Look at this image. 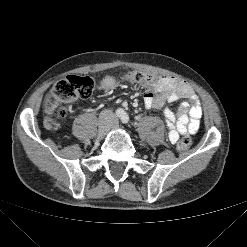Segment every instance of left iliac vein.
I'll use <instances>...</instances> for the list:
<instances>
[{
    "label": "left iliac vein",
    "instance_id": "left-iliac-vein-1",
    "mask_svg": "<svg viewBox=\"0 0 247 247\" xmlns=\"http://www.w3.org/2000/svg\"><path fill=\"white\" fill-rule=\"evenodd\" d=\"M117 126V123H114V127H116Z\"/></svg>",
    "mask_w": 247,
    "mask_h": 247
}]
</instances>
